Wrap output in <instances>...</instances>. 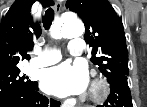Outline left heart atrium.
<instances>
[{
	"label": "left heart atrium",
	"instance_id": "39dd6f15",
	"mask_svg": "<svg viewBox=\"0 0 147 107\" xmlns=\"http://www.w3.org/2000/svg\"><path fill=\"white\" fill-rule=\"evenodd\" d=\"M87 85L88 75L85 67L68 63L47 69L41 79L42 89L58 97L81 94Z\"/></svg>",
	"mask_w": 147,
	"mask_h": 107
}]
</instances>
